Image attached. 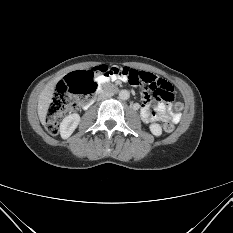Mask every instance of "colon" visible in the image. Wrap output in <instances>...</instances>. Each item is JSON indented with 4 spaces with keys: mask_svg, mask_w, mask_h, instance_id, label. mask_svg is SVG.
I'll return each mask as SVG.
<instances>
[{
    "mask_svg": "<svg viewBox=\"0 0 233 233\" xmlns=\"http://www.w3.org/2000/svg\"><path fill=\"white\" fill-rule=\"evenodd\" d=\"M95 75L119 76L134 86H139L147 91H151L153 96L165 101L173 98V87L166 81L152 77L145 72H139L127 67H108L99 66L93 71H78L69 74L64 80L60 81L56 87L53 100L48 108L45 125L51 134H57L62 117L72 109L73 104L69 95L78 101L87 100L95 91ZM181 105L174 104V109L179 110ZM163 129L170 133L174 130V124L166 123Z\"/></svg>",
    "mask_w": 233,
    "mask_h": 233,
    "instance_id": "obj_1",
    "label": "colon"
}]
</instances>
